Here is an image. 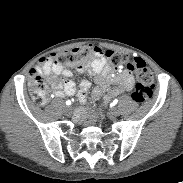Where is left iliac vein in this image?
I'll return each instance as SVG.
<instances>
[{
	"instance_id": "left-iliac-vein-1",
	"label": "left iliac vein",
	"mask_w": 183,
	"mask_h": 183,
	"mask_svg": "<svg viewBox=\"0 0 183 183\" xmlns=\"http://www.w3.org/2000/svg\"><path fill=\"white\" fill-rule=\"evenodd\" d=\"M110 115H112V116H119L120 115L119 108H117V107L112 108L111 111H110Z\"/></svg>"
}]
</instances>
